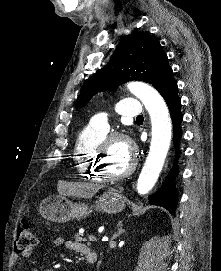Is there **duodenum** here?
I'll use <instances>...</instances> for the list:
<instances>
[{
	"label": "duodenum",
	"instance_id": "410a0bca",
	"mask_svg": "<svg viewBox=\"0 0 221 271\" xmlns=\"http://www.w3.org/2000/svg\"><path fill=\"white\" fill-rule=\"evenodd\" d=\"M86 259L88 263L94 264L98 260V254L96 252H92Z\"/></svg>",
	"mask_w": 221,
	"mask_h": 271
}]
</instances>
